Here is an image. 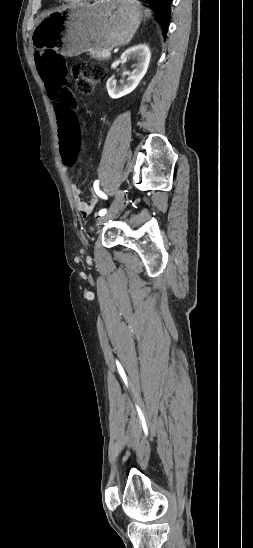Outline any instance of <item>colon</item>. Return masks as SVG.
<instances>
[{"instance_id": "1", "label": "colon", "mask_w": 253, "mask_h": 548, "mask_svg": "<svg viewBox=\"0 0 253 548\" xmlns=\"http://www.w3.org/2000/svg\"><path fill=\"white\" fill-rule=\"evenodd\" d=\"M37 73L41 74L44 83L45 95L48 102L54 107L55 120L60 129L62 141L61 153L64 166H74L78 159L77 138L82 136V127L79 126V105L76 99L71 98L72 81L68 73V60L54 51L41 50L38 53ZM76 89L80 94L92 92L94 86L105 77L102 67L84 60L73 67Z\"/></svg>"}]
</instances>
